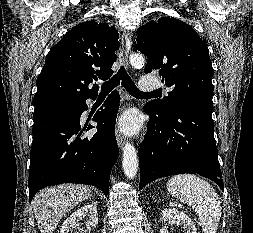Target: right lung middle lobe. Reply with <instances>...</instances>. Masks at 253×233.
Returning a JSON list of instances; mask_svg holds the SVG:
<instances>
[{
    "label": "right lung middle lobe",
    "mask_w": 253,
    "mask_h": 233,
    "mask_svg": "<svg viewBox=\"0 0 253 233\" xmlns=\"http://www.w3.org/2000/svg\"><path fill=\"white\" fill-rule=\"evenodd\" d=\"M53 101V100H52ZM49 102V101H48ZM44 103H46V102H44ZM41 104H43V103H41ZM41 104H38V105H41ZM38 105H35V106H38Z\"/></svg>",
    "instance_id": "dd1d6c3e"
}]
</instances>
